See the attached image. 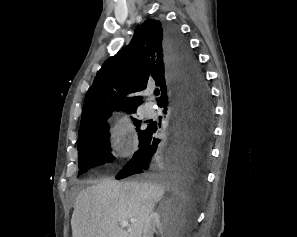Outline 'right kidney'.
I'll return each mask as SVG.
<instances>
[{"label":"right kidney","mask_w":297,"mask_h":237,"mask_svg":"<svg viewBox=\"0 0 297 237\" xmlns=\"http://www.w3.org/2000/svg\"><path fill=\"white\" fill-rule=\"evenodd\" d=\"M155 228L161 230L164 237L172 236L161 221V216L158 212H152L147 218L143 229V237H153Z\"/></svg>","instance_id":"ca27d5eb"}]
</instances>
